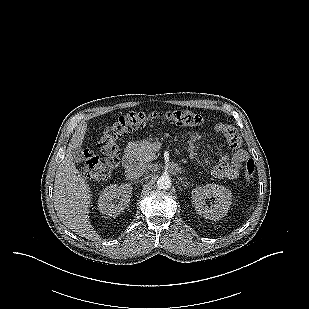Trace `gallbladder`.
<instances>
[{
	"instance_id": "bac80fb5",
	"label": "gallbladder",
	"mask_w": 309,
	"mask_h": 309,
	"mask_svg": "<svg viewBox=\"0 0 309 309\" xmlns=\"http://www.w3.org/2000/svg\"><path fill=\"white\" fill-rule=\"evenodd\" d=\"M72 159L74 162H81L83 160V151L81 148L72 149Z\"/></svg>"
}]
</instances>
